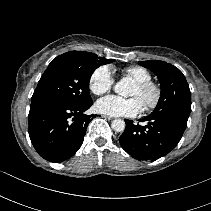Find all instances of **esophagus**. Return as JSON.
Listing matches in <instances>:
<instances>
[{"label": "esophagus", "mask_w": 211, "mask_h": 211, "mask_svg": "<svg viewBox=\"0 0 211 211\" xmlns=\"http://www.w3.org/2000/svg\"><path fill=\"white\" fill-rule=\"evenodd\" d=\"M102 117H104L105 119H108V120H112L113 119V117L108 116V115H102Z\"/></svg>", "instance_id": "1"}]
</instances>
